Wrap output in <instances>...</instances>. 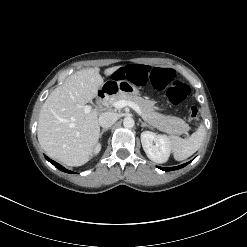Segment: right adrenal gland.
Wrapping results in <instances>:
<instances>
[{"instance_id": "right-adrenal-gland-1", "label": "right adrenal gland", "mask_w": 247, "mask_h": 247, "mask_svg": "<svg viewBox=\"0 0 247 247\" xmlns=\"http://www.w3.org/2000/svg\"><path fill=\"white\" fill-rule=\"evenodd\" d=\"M107 130H108V128H103L102 131L100 132V136H102V134H103L105 131H107Z\"/></svg>"}]
</instances>
